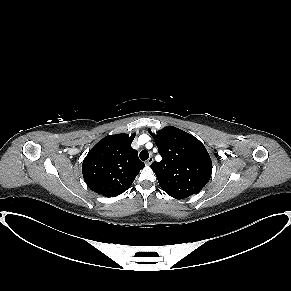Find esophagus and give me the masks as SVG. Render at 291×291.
I'll return each mask as SVG.
<instances>
[{
    "mask_svg": "<svg viewBox=\"0 0 291 291\" xmlns=\"http://www.w3.org/2000/svg\"><path fill=\"white\" fill-rule=\"evenodd\" d=\"M152 162H153V157H149V158L145 161V164L149 166V165L152 164Z\"/></svg>",
    "mask_w": 291,
    "mask_h": 291,
    "instance_id": "esophagus-1",
    "label": "esophagus"
}]
</instances>
